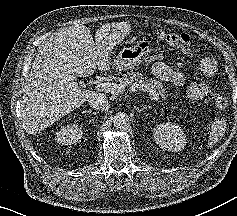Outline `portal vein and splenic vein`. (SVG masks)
I'll return each mask as SVG.
<instances>
[{
    "mask_svg": "<svg viewBox=\"0 0 237 216\" xmlns=\"http://www.w3.org/2000/svg\"><path fill=\"white\" fill-rule=\"evenodd\" d=\"M96 84L99 83V81H95ZM125 84H115V83H109V82H105V83H101L100 86H102L106 91H109L111 94H116L122 91V89L125 88ZM151 92V91H150Z\"/></svg>",
    "mask_w": 237,
    "mask_h": 216,
    "instance_id": "18ae733b",
    "label": "portal vein and splenic vein"
}]
</instances>
